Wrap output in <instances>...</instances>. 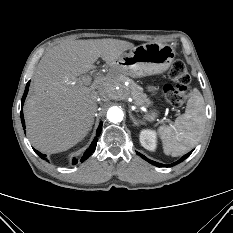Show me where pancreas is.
<instances>
[{"label":"pancreas","instance_id":"pancreas-1","mask_svg":"<svg viewBox=\"0 0 233 233\" xmlns=\"http://www.w3.org/2000/svg\"><path fill=\"white\" fill-rule=\"evenodd\" d=\"M116 78L120 82H125V81L129 82L128 88L130 89L131 97L133 98L134 103L136 105L138 106L145 105L148 107L151 104V101L149 100V98H147V95L143 92V88L137 85L134 81L125 77L122 74H118Z\"/></svg>","mask_w":233,"mask_h":233}]
</instances>
